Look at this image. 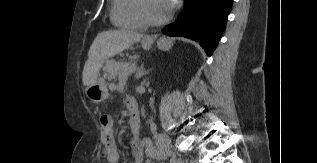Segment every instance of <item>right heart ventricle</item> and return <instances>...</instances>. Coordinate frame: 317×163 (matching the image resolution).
Wrapping results in <instances>:
<instances>
[{
    "instance_id": "1",
    "label": "right heart ventricle",
    "mask_w": 317,
    "mask_h": 163,
    "mask_svg": "<svg viewBox=\"0 0 317 163\" xmlns=\"http://www.w3.org/2000/svg\"><path fill=\"white\" fill-rule=\"evenodd\" d=\"M111 21L123 29H144L147 26L139 14L138 0H112Z\"/></svg>"
}]
</instances>
